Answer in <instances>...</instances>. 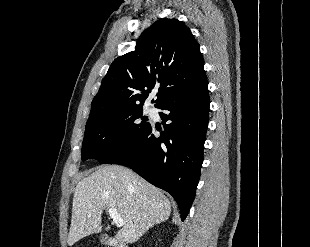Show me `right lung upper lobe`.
<instances>
[{
  "mask_svg": "<svg viewBox=\"0 0 310 247\" xmlns=\"http://www.w3.org/2000/svg\"><path fill=\"white\" fill-rule=\"evenodd\" d=\"M206 81L204 59L191 31L177 19L156 21L139 37L134 51L116 58L92 101L87 122L142 108L159 87L155 107Z\"/></svg>",
  "mask_w": 310,
  "mask_h": 247,
  "instance_id": "cb5924a9",
  "label": "right lung upper lobe"
}]
</instances>
